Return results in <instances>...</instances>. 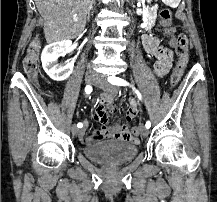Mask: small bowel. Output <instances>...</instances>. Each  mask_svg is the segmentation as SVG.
I'll list each match as a JSON object with an SVG mask.
<instances>
[{
    "mask_svg": "<svg viewBox=\"0 0 217 202\" xmlns=\"http://www.w3.org/2000/svg\"><path fill=\"white\" fill-rule=\"evenodd\" d=\"M142 43L145 51L150 56L158 59V62L153 68L154 72L158 75L166 74L169 70L173 57L171 50L162 46L155 36L149 34L142 37ZM107 109H111L112 112L115 110L113 107V94L111 92L102 93L94 107L92 118L94 121L100 123L101 127L95 130L93 134L87 138L84 136L83 132H80L79 139L87 144H93L96 141L103 140L105 138L126 141L133 144L139 143V136L142 131H131V128H129L126 124L112 127L107 126ZM138 111V103L135 99L131 98L125 112L126 121H132L137 116Z\"/></svg>",
    "mask_w": 217,
    "mask_h": 202,
    "instance_id": "small-bowel-1",
    "label": "small bowel"
}]
</instances>
